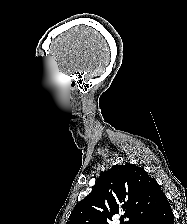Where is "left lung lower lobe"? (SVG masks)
<instances>
[{
    "label": "left lung lower lobe",
    "instance_id": "left-lung-lower-lobe-1",
    "mask_svg": "<svg viewBox=\"0 0 187 224\" xmlns=\"http://www.w3.org/2000/svg\"><path fill=\"white\" fill-rule=\"evenodd\" d=\"M146 224H174V214L167 197L162 192L156 207Z\"/></svg>",
    "mask_w": 187,
    "mask_h": 224
}]
</instances>
